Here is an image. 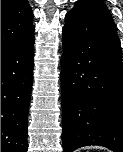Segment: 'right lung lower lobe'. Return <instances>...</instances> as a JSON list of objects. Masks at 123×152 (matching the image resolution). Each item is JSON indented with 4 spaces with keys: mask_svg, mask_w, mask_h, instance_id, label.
<instances>
[{
    "mask_svg": "<svg viewBox=\"0 0 123 152\" xmlns=\"http://www.w3.org/2000/svg\"><path fill=\"white\" fill-rule=\"evenodd\" d=\"M34 32L1 45V152H27Z\"/></svg>",
    "mask_w": 123,
    "mask_h": 152,
    "instance_id": "98d812e1",
    "label": "right lung lower lobe"
}]
</instances>
